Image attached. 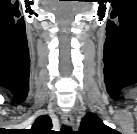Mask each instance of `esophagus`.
Wrapping results in <instances>:
<instances>
[{
    "label": "esophagus",
    "instance_id": "34e87169",
    "mask_svg": "<svg viewBox=\"0 0 137 134\" xmlns=\"http://www.w3.org/2000/svg\"><path fill=\"white\" fill-rule=\"evenodd\" d=\"M62 121L68 127H73L74 126V119H73V116L70 113H64L62 115Z\"/></svg>",
    "mask_w": 137,
    "mask_h": 134
}]
</instances>
